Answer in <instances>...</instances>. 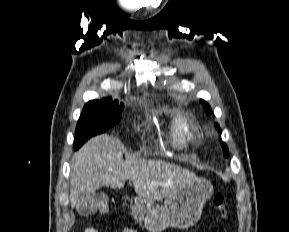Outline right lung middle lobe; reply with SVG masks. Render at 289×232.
I'll list each match as a JSON object with an SVG mask.
<instances>
[{"mask_svg": "<svg viewBox=\"0 0 289 232\" xmlns=\"http://www.w3.org/2000/svg\"><path fill=\"white\" fill-rule=\"evenodd\" d=\"M124 105L111 100L89 101L78 120L75 149H78L89 138L105 132L121 120Z\"/></svg>", "mask_w": 289, "mask_h": 232, "instance_id": "dd1d6c3e", "label": "right lung middle lobe"}]
</instances>
